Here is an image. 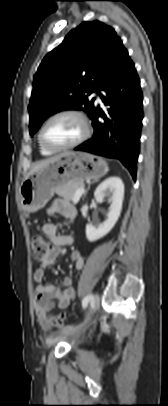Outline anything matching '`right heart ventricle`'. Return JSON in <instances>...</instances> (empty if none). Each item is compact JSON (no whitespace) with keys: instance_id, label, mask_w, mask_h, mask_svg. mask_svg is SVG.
<instances>
[{"instance_id":"right-heart-ventricle-1","label":"right heart ventricle","mask_w":168,"mask_h":406,"mask_svg":"<svg viewBox=\"0 0 168 406\" xmlns=\"http://www.w3.org/2000/svg\"><path fill=\"white\" fill-rule=\"evenodd\" d=\"M38 144H39L40 153H41L42 155H44V156H49V155H52V154L54 153V151H50V150H47L46 148H44V147L41 145V143L39 142V139H38Z\"/></svg>"}]
</instances>
